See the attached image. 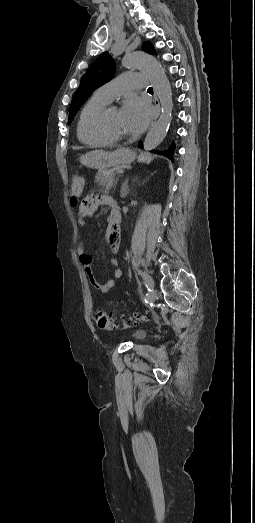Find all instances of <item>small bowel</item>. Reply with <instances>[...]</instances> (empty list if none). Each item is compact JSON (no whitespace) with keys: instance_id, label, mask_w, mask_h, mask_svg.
Wrapping results in <instances>:
<instances>
[{"instance_id":"obj_1","label":"small bowel","mask_w":255,"mask_h":523,"mask_svg":"<svg viewBox=\"0 0 255 523\" xmlns=\"http://www.w3.org/2000/svg\"><path fill=\"white\" fill-rule=\"evenodd\" d=\"M107 197L103 196H88L85 201L80 205L78 209L77 222L79 226L84 227L86 219L94 214L100 204H108ZM106 239L108 249L111 253L116 254L119 249V232L118 228H113L108 225L106 229ZM76 252L79 256L80 262L84 265L89 283L101 293L109 292L115 286L114 279H108L104 282H99L95 277L92 270L93 257L86 251L83 239L80 237ZM111 265L115 266L114 277L120 278L122 276V270L118 268V260L115 257L110 258Z\"/></svg>"}]
</instances>
